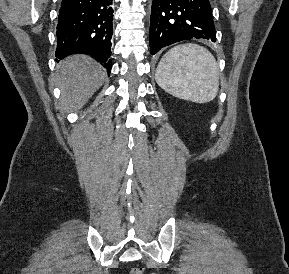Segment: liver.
Instances as JSON below:
<instances>
[{"mask_svg": "<svg viewBox=\"0 0 289 274\" xmlns=\"http://www.w3.org/2000/svg\"><path fill=\"white\" fill-rule=\"evenodd\" d=\"M105 76V69L91 57L72 55L61 61L55 79L61 90L62 109H81L102 86Z\"/></svg>", "mask_w": 289, "mask_h": 274, "instance_id": "liver-1", "label": "liver"}]
</instances>
